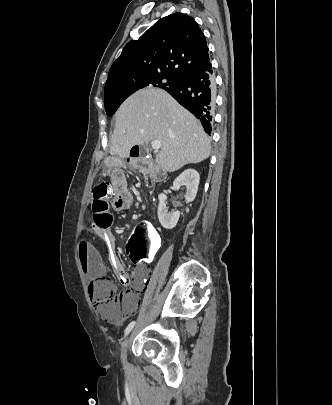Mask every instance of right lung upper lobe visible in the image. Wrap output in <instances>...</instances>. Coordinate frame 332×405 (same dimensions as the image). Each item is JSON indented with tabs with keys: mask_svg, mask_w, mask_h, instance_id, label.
<instances>
[{
	"mask_svg": "<svg viewBox=\"0 0 332 405\" xmlns=\"http://www.w3.org/2000/svg\"><path fill=\"white\" fill-rule=\"evenodd\" d=\"M209 60L206 39L197 22L188 15L174 13L125 45L109 70L105 87L130 75L181 77Z\"/></svg>",
	"mask_w": 332,
	"mask_h": 405,
	"instance_id": "1",
	"label": "right lung upper lobe"
}]
</instances>
